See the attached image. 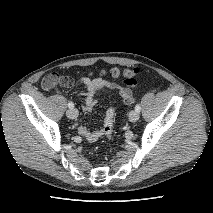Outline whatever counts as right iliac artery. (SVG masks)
I'll return each instance as SVG.
<instances>
[{"mask_svg":"<svg viewBox=\"0 0 213 213\" xmlns=\"http://www.w3.org/2000/svg\"><path fill=\"white\" fill-rule=\"evenodd\" d=\"M68 107H69L70 109H73V108H74V104H73L72 102H68Z\"/></svg>","mask_w":213,"mask_h":213,"instance_id":"82829eb1","label":"right iliac artery"}]
</instances>
